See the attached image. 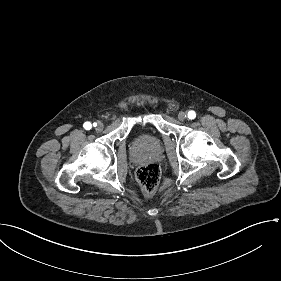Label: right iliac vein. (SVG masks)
Returning a JSON list of instances; mask_svg holds the SVG:
<instances>
[{
  "mask_svg": "<svg viewBox=\"0 0 281 281\" xmlns=\"http://www.w3.org/2000/svg\"><path fill=\"white\" fill-rule=\"evenodd\" d=\"M95 129L97 132H101L103 130V124L101 122H98Z\"/></svg>",
  "mask_w": 281,
  "mask_h": 281,
  "instance_id": "right-iliac-vein-1",
  "label": "right iliac vein"
}]
</instances>
